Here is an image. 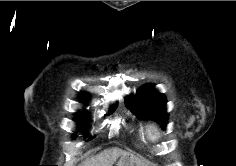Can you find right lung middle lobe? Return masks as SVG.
Returning <instances> with one entry per match:
<instances>
[{
	"instance_id": "dd1d6c3e",
	"label": "right lung middle lobe",
	"mask_w": 236,
	"mask_h": 166,
	"mask_svg": "<svg viewBox=\"0 0 236 166\" xmlns=\"http://www.w3.org/2000/svg\"><path fill=\"white\" fill-rule=\"evenodd\" d=\"M116 106H113L112 109L110 110L109 113H112L114 110H115ZM76 121L79 123V124H86V121H87V117H85L84 115H81V113H79V117H77ZM83 133V132H82ZM92 139L89 138L88 140Z\"/></svg>"
}]
</instances>
